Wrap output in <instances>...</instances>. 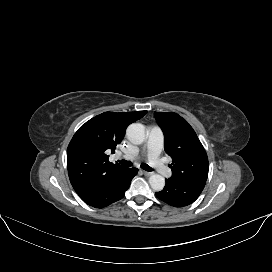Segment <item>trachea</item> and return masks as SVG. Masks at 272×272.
Returning <instances> with one entry per match:
<instances>
[{
	"label": "trachea",
	"mask_w": 272,
	"mask_h": 272,
	"mask_svg": "<svg viewBox=\"0 0 272 272\" xmlns=\"http://www.w3.org/2000/svg\"><path fill=\"white\" fill-rule=\"evenodd\" d=\"M119 163L123 166V167H131L133 165V163L131 161H127V160H121L119 161ZM141 168L145 171L151 172L153 171V169L148 166L147 164H141Z\"/></svg>",
	"instance_id": "obj_1"
}]
</instances>
